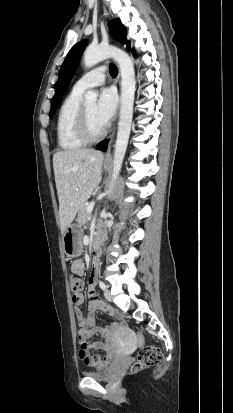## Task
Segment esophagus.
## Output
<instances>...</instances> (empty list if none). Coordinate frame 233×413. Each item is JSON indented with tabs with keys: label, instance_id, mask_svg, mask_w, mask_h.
I'll list each match as a JSON object with an SVG mask.
<instances>
[{
	"label": "esophagus",
	"instance_id": "obj_1",
	"mask_svg": "<svg viewBox=\"0 0 233 413\" xmlns=\"http://www.w3.org/2000/svg\"><path fill=\"white\" fill-rule=\"evenodd\" d=\"M103 11H104V14L106 15V17L109 18V14H108V12H107V10L104 6H103ZM120 79H121V76H120V73H119L118 76H117V81L120 82ZM114 134H115V130L112 132V134L110 135V138H109L110 140H109V143H108L107 151H106L105 156H104L105 161H111V148H112V144H113Z\"/></svg>",
	"mask_w": 233,
	"mask_h": 413
}]
</instances>
